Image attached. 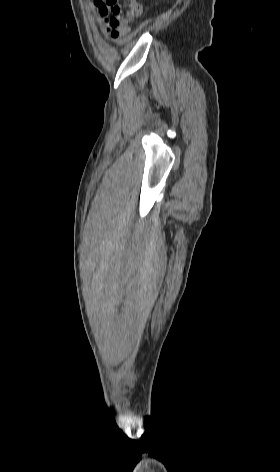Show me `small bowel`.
I'll list each match as a JSON object with an SVG mask.
<instances>
[{
	"mask_svg": "<svg viewBox=\"0 0 280 472\" xmlns=\"http://www.w3.org/2000/svg\"><path fill=\"white\" fill-rule=\"evenodd\" d=\"M128 28L127 27H115L110 24V22H107L106 25V32L109 36H111L114 39L117 40H122L126 37L128 34Z\"/></svg>",
	"mask_w": 280,
	"mask_h": 472,
	"instance_id": "obj_1",
	"label": "small bowel"
}]
</instances>
